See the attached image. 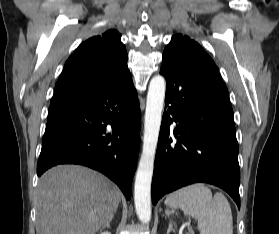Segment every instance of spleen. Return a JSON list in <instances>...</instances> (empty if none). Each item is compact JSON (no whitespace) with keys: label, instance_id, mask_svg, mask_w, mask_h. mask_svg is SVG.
<instances>
[{"label":"spleen","instance_id":"spleen-1","mask_svg":"<svg viewBox=\"0 0 279 234\" xmlns=\"http://www.w3.org/2000/svg\"><path fill=\"white\" fill-rule=\"evenodd\" d=\"M165 204L180 208L198 220L200 234H233L231 207L226 197L202 183L179 189L167 196Z\"/></svg>","mask_w":279,"mask_h":234}]
</instances>
